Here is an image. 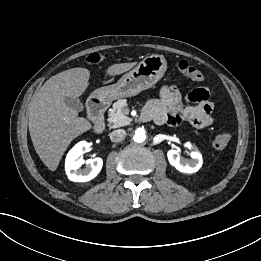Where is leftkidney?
<instances>
[{
	"instance_id": "obj_1",
	"label": "left kidney",
	"mask_w": 261,
	"mask_h": 261,
	"mask_svg": "<svg viewBox=\"0 0 261 261\" xmlns=\"http://www.w3.org/2000/svg\"><path fill=\"white\" fill-rule=\"evenodd\" d=\"M185 146L193 150L191 152V159L185 160L180 157L177 150L171 149L167 152L168 161L173 167L182 173H195L203 164L202 155L196 147L192 146L191 143L187 142L185 143Z\"/></svg>"
}]
</instances>
